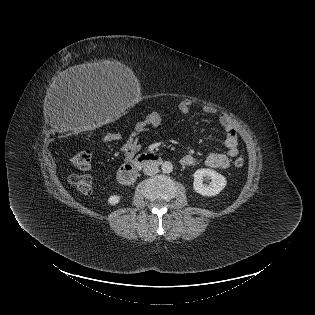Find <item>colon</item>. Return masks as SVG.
Segmentation results:
<instances>
[{
  "label": "colon",
  "instance_id": "1",
  "mask_svg": "<svg viewBox=\"0 0 315 315\" xmlns=\"http://www.w3.org/2000/svg\"><path fill=\"white\" fill-rule=\"evenodd\" d=\"M120 139L118 133H110L104 137L105 141H117ZM92 161V153L88 150H82L71 158L73 166L80 170H86L90 167ZM244 164L243 157H238L234 161L235 167H242ZM70 183L82 194H90L92 192L93 182L89 175H72L69 178Z\"/></svg>",
  "mask_w": 315,
  "mask_h": 315
}]
</instances>
